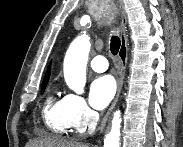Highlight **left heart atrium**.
<instances>
[{"label":"left heart atrium","instance_id":"left-heart-atrium-1","mask_svg":"<svg viewBox=\"0 0 183 147\" xmlns=\"http://www.w3.org/2000/svg\"><path fill=\"white\" fill-rule=\"evenodd\" d=\"M116 82L110 75L96 77L90 85L89 100L95 109H104L113 99Z\"/></svg>","mask_w":183,"mask_h":147}]
</instances>
